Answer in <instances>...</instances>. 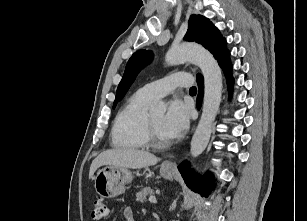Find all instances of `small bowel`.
Returning a JSON list of instances; mask_svg holds the SVG:
<instances>
[{
    "label": "small bowel",
    "mask_w": 307,
    "mask_h": 221,
    "mask_svg": "<svg viewBox=\"0 0 307 221\" xmlns=\"http://www.w3.org/2000/svg\"><path fill=\"white\" fill-rule=\"evenodd\" d=\"M123 214L126 221H134L133 212L130 207L124 206Z\"/></svg>",
    "instance_id": "obj_1"
}]
</instances>
